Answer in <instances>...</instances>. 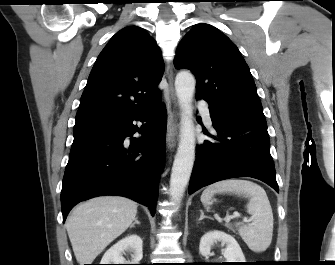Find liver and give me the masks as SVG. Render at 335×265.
<instances>
[{
    "instance_id": "6515ba94",
    "label": "liver",
    "mask_w": 335,
    "mask_h": 265,
    "mask_svg": "<svg viewBox=\"0 0 335 265\" xmlns=\"http://www.w3.org/2000/svg\"><path fill=\"white\" fill-rule=\"evenodd\" d=\"M137 204L119 196H101L77 206L67 218L66 229L77 262L91 264L131 226Z\"/></svg>"
}]
</instances>
